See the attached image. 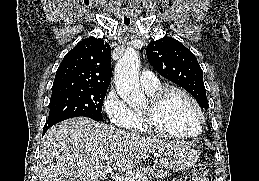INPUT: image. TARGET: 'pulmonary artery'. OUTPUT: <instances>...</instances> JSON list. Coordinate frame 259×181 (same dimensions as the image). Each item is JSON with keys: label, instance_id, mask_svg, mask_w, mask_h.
<instances>
[{"label": "pulmonary artery", "instance_id": "obj_1", "mask_svg": "<svg viewBox=\"0 0 259 181\" xmlns=\"http://www.w3.org/2000/svg\"><path fill=\"white\" fill-rule=\"evenodd\" d=\"M159 84L156 76L150 71L142 72L140 76V85L143 89H150Z\"/></svg>", "mask_w": 259, "mask_h": 181}]
</instances>
